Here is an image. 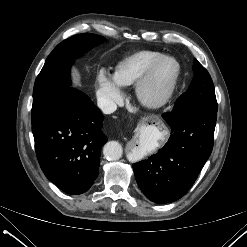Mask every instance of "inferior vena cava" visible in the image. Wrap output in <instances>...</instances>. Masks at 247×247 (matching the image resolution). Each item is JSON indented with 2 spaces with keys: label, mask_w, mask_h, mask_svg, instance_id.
Returning <instances> with one entry per match:
<instances>
[{
  "label": "inferior vena cava",
  "mask_w": 247,
  "mask_h": 247,
  "mask_svg": "<svg viewBox=\"0 0 247 247\" xmlns=\"http://www.w3.org/2000/svg\"><path fill=\"white\" fill-rule=\"evenodd\" d=\"M97 105L104 114H111L117 109L114 101L103 97L98 98Z\"/></svg>",
  "instance_id": "obj_1"
}]
</instances>
